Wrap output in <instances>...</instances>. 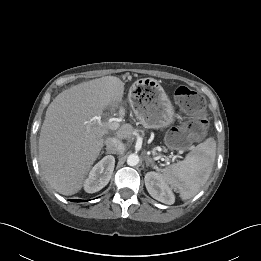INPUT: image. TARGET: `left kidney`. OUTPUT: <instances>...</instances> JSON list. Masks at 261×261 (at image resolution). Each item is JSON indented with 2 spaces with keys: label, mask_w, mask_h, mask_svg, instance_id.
Listing matches in <instances>:
<instances>
[{
  "label": "left kidney",
  "mask_w": 261,
  "mask_h": 261,
  "mask_svg": "<svg viewBox=\"0 0 261 261\" xmlns=\"http://www.w3.org/2000/svg\"><path fill=\"white\" fill-rule=\"evenodd\" d=\"M144 180L148 193L154 199L168 205L175 202L174 194L161 174L154 171L148 172Z\"/></svg>",
  "instance_id": "left-kidney-1"
}]
</instances>
